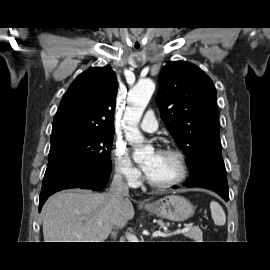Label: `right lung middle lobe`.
Returning a JSON list of instances; mask_svg holds the SVG:
<instances>
[{
  "instance_id": "right-lung-middle-lobe-1",
  "label": "right lung middle lobe",
  "mask_w": 270,
  "mask_h": 270,
  "mask_svg": "<svg viewBox=\"0 0 270 270\" xmlns=\"http://www.w3.org/2000/svg\"><path fill=\"white\" fill-rule=\"evenodd\" d=\"M113 131L76 127L53 129L46 172L73 161H83L92 171H111Z\"/></svg>"
}]
</instances>
